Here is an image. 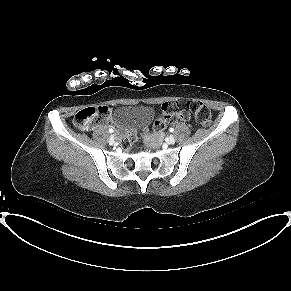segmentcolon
<instances>
[{"mask_svg": "<svg viewBox=\"0 0 291 291\" xmlns=\"http://www.w3.org/2000/svg\"><path fill=\"white\" fill-rule=\"evenodd\" d=\"M178 103L167 102L162 106V113L153 128L157 132H162L168 122L175 120L178 113ZM187 109L192 113L196 121L202 126H209L211 123V113L209 108L200 102L190 101L187 103ZM112 111L108 106L85 107L78 111L74 117L75 125L82 130H86L95 124H106L109 122ZM136 140V133H130L125 142V147H129Z\"/></svg>", "mask_w": 291, "mask_h": 291, "instance_id": "obj_1", "label": "colon"}]
</instances>
